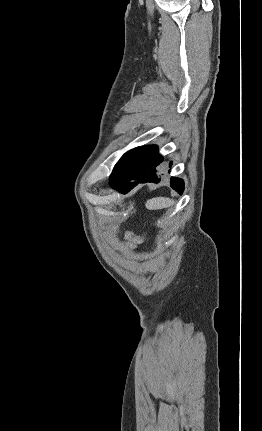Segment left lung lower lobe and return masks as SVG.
Wrapping results in <instances>:
<instances>
[{
    "label": "left lung lower lobe",
    "instance_id": "left-lung-lower-lobe-1",
    "mask_svg": "<svg viewBox=\"0 0 262 431\" xmlns=\"http://www.w3.org/2000/svg\"><path fill=\"white\" fill-rule=\"evenodd\" d=\"M163 162L162 156L157 153L156 146H142L137 150L131 165V177L129 181L119 188V192L126 194L139 182H153L160 181L158 177V165ZM170 186L182 194L184 190L183 180L171 177Z\"/></svg>",
    "mask_w": 262,
    "mask_h": 431
}]
</instances>
